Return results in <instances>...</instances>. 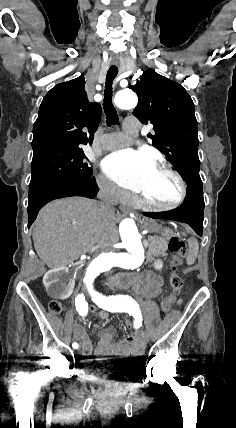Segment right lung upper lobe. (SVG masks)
<instances>
[{
    "instance_id": "1",
    "label": "right lung upper lobe",
    "mask_w": 236,
    "mask_h": 428,
    "mask_svg": "<svg viewBox=\"0 0 236 428\" xmlns=\"http://www.w3.org/2000/svg\"><path fill=\"white\" fill-rule=\"evenodd\" d=\"M83 76L53 87L44 97L34 123L32 148L92 142L102 109L88 101ZM88 128L85 132L83 129Z\"/></svg>"
}]
</instances>
